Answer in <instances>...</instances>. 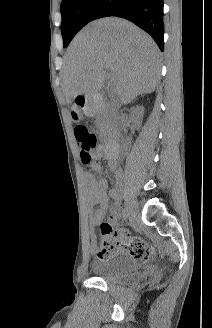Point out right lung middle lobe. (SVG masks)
Here are the masks:
<instances>
[{
	"label": "right lung middle lobe",
	"instance_id": "obj_1",
	"mask_svg": "<svg viewBox=\"0 0 212 328\" xmlns=\"http://www.w3.org/2000/svg\"><path fill=\"white\" fill-rule=\"evenodd\" d=\"M102 0H62L61 33L63 47H67L77 32L92 21V16Z\"/></svg>",
	"mask_w": 212,
	"mask_h": 328
}]
</instances>
